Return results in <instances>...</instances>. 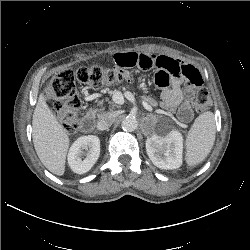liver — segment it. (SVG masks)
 Instances as JSON below:
<instances>
[{"instance_id": "liver-1", "label": "liver", "mask_w": 250, "mask_h": 250, "mask_svg": "<svg viewBox=\"0 0 250 250\" xmlns=\"http://www.w3.org/2000/svg\"><path fill=\"white\" fill-rule=\"evenodd\" d=\"M32 128L33 144L40 161L51 173L62 176L70 140L66 129L48 107L43 93L39 95L33 113Z\"/></svg>"}]
</instances>
